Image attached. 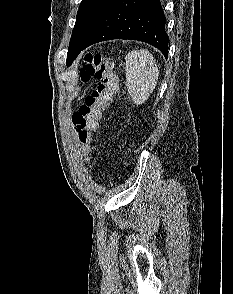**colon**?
I'll use <instances>...</instances> for the list:
<instances>
[{"mask_svg": "<svg viewBox=\"0 0 233 294\" xmlns=\"http://www.w3.org/2000/svg\"><path fill=\"white\" fill-rule=\"evenodd\" d=\"M98 81L97 87L85 98L72 117L77 141L84 152L88 151L91 133L97 128L103 111L108 107L118 90L117 76L112 61L100 53H88L81 70V81Z\"/></svg>", "mask_w": 233, "mask_h": 294, "instance_id": "colon-1", "label": "colon"}]
</instances>
